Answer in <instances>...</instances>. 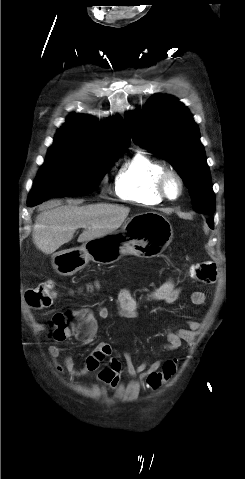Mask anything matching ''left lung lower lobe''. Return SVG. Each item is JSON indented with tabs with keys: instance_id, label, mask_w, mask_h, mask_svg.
I'll return each instance as SVG.
<instances>
[{
	"instance_id": "left-lung-lower-lobe-1",
	"label": "left lung lower lobe",
	"mask_w": 245,
	"mask_h": 479,
	"mask_svg": "<svg viewBox=\"0 0 245 479\" xmlns=\"http://www.w3.org/2000/svg\"><path fill=\"white\" fill-rule=\"evenodd\" d=\"M208 225L210 226V228H213V218H210L208 220Z\"/></svg>"
}]
</instances>
